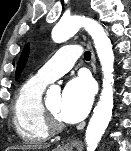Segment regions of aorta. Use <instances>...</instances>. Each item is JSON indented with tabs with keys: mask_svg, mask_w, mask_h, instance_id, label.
<instances>
[{
	"mask_svg": "<svg viewBox=\"0 0 131 151\" xmlns=\"http://www.w3.org/2000/svg\"><path fill=\"white\" fill-rule=\"evenodd\" d=\"M91 35L103 72V85L100 99L86 129L87 151H95L108 124L113 109L114 53L112 44L103 27L95 20L83 16L62 19L53 29L52 38L61 43L74 36L80 28Z\"/></svg>",
	"mask_w": 131,
	"mask_h": 151,
	"instance_id": "762f6f07",
	"label": "aorta"
}]
</instances>
